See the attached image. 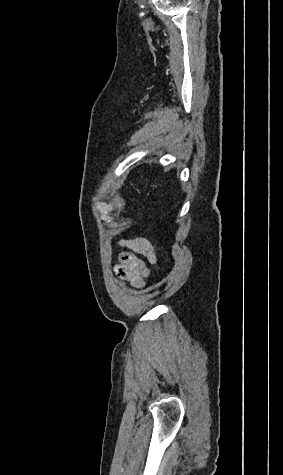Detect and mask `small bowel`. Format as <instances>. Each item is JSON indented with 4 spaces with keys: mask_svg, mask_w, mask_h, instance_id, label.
<instances>
[{
    "mask_svg": "<svg viewBox=\"0 0 283 475\" xmlns=\"http://www.w3.org/2000/svg\"><path fill=\"white\" fill-rule=\"evenodd\" d=\"M120 244L118 241L115 243ZM122 244L127 245L130 251L119 255L114 271L120 284H128L132 288L141 289L145 279L150 275L149 264L155 265L158 261L152 244L145 238H135Z\"/></svg>",
    "mask_w": 283,
    "mask_h": 475,
    "instance_id": "c3829d8e",
    "label": "small bowel"
}]
</instances>
